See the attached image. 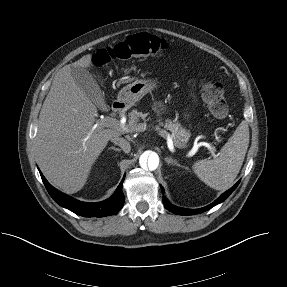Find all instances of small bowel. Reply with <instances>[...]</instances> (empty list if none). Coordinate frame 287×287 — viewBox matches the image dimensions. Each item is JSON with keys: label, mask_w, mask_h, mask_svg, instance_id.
<instances>
[{"label": "small bowel", "mask_w": 287, "mask_h": 287, "mask_svg": "<svg viewBox=\"0 0 287 287\" xmlns=\"http://www.w3.org/2000/svg\"><path fill=\"white\" fill-rule=\"evenodd\" d=\"M158 109H162V105L160 103L157 104Z\"/></svg>", "instance_id": "1"}]
</instances>
